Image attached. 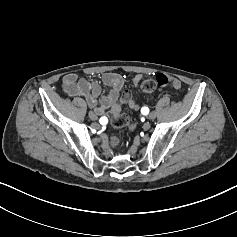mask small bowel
<instances>
[{
	"instance_id": "c3829d8e",
	"label": "small bowel",
	"mask_w": 237,
	"mask_h": 237,
	"mask_svg": "<svg viewBox=\"0 0 237 237\" xmlns=\"http://www.w3.org/2000/svg\"><path fill=\"white\" fill-rule=\"evenodd\" d=\"M140 79L141 76L136 75L133 82L137 84ZM101 80L104 85L110 87L109 92L102 98H100L101 86L98 82L88 81L78 77L74 73L67 74L63 77L62 88L68 96L85 98L89 107L92 108L90 113L101 117L110 113L118 105L124 84L122 76L113 72L104 73L101 76ZM123 99L132 108L137 107L134 101L131 100L129 92H124Z\"/></svg>"
}]
</instances>
